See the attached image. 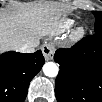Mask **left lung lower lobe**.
Listing matches in <instances>:
<instances>
[{"label":"left lung lower lobe","mask_w":102,"mask_h":102,"mask_svg":"<svg viewBox=\"0 0 102 102\" xmlns=\"http://www.w3.org/2000/svg\"><path fill=\"white\" fill-rule=\"evenodd\" d=\"M55 81L58 102H102V32L84 37L71 49H58Z\"/></svg>","instance_id":"0a47b994"}]
</instances>
